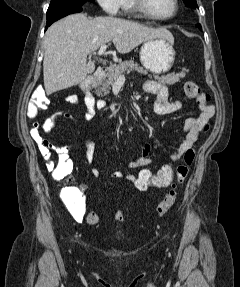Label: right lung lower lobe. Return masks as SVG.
<instances>
[{
	"label": "right lung lower lobe",
	"mask_w": 240,
	"mask_h": 287,
	"mask_svg": "<svg viewBox=\"0 0 240 287\" xmlns=\"http://www.w3.org/2000/svg\"><path fill=\"white\" fill-rule=\"evenodd\" d=\"M84 6H78V7H72V8H68V9H63V10H58L56 12L51 13L50 15L47 16V23H46V27L45 30L55 21H57L58 19L65 17L69 14H73V13H79L83 10Z\"/></svg>",
	"instance_id": "98d812e1"
}]
</instances>
